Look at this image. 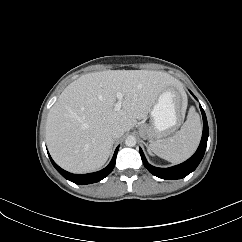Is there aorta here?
Masks as SVG:
<instances>
[{
  "instance_id": "762f6f07",
  "label": "aorta",
  "mask_w": 242,
  "mask_h": 242,
  "mask_svg": "<svg viewBox=\"0 0 242 242\" xmlns=\"http://www.w3.org/2000/svg\"><path fill=\"white\" fill-rule=\"evenodd\" d=\"M125 144L126 146L128 147H133L136 145V139L135 137L133 136H128L126 139H125Z\"/></svg>"
}]
</instances>
